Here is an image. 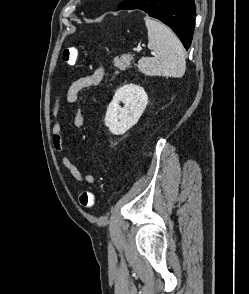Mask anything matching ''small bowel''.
<instances>
[{"mask_svg":"<svg viewBox=\"0 0 249 294\" xmlns=\"http://www.w3.org/2000/svg\"><path fill=\"white\" fill-rule=\"evenodd\" d=\"M104 78V69L102 67H97L92 73L77 79L68 88L65 94V102L67 104H75L80 100L81 93L86 88L98 86ZM63 107V101L60 96H58L52 107V142L53 147L58 152L64 150L63 145V132H62V121L61 112ZM74 126L81 129L85 125V118L81 110H77L73 117ZM61 162L63 166L69 171L70 175L79 183L93 184L95 182V177L89 173H82L77 166L70 160L66 155H62Z\"/></svg>","mask_w":249,"mask_h":294,"instance_id":"c3829d8e","label":"small bowel"}]
</instances>
